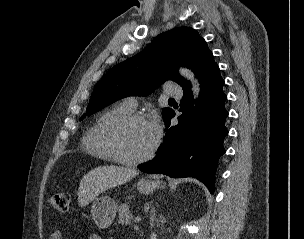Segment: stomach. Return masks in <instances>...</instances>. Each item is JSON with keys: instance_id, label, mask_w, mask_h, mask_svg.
<instances>
[{"instance_id": "obj_1", "label": "stomach", "mask_w": 304, "mask_h": 239, "mask_svg": "<svg viewBox=\"0 0 304 239\" xmlns=\"http://www.w3.org/2000/svg\"><path fill=\"white\" fill-rule=\"evenodd\" d=\"M161 187L162 183L158 180L141 179L137 184L138 191L143 194H151ZM117 210L118 204L114 199L108 196H102L93 201L91 205V216L99 228H107L112 224Z\"/></svg>"}]
</instances>
